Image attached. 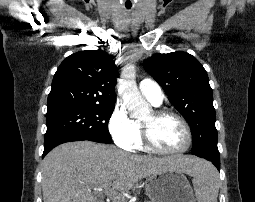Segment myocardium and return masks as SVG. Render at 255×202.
<instances>
[{
    "mask_svg": "<svg viewBox=\"0 0 255 202\" xmlns=\"http://www.w3.org/2000/svg\"><path fill=\"white\" fill-rule=\"evenodd\" d=\"M152 114H153V120H158L164 117L176 118L182 124L184 128V131L186 134V142H185V145L178 150H163L157 147L153 141L152 134H151V124L142 121L141 133H142V140L146 149L149 150L150 152L161 154V155H179L186 152L192 144V132L186 119L180 114H178L177 112H174L168 109H156L152 112Z\"/></svg>",
    "mask_w": 255,
    "mask_h": 202,
    "instance_id": "obj_1",
    "label": "myocardium"
}]
</instances>
